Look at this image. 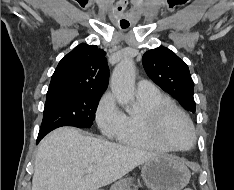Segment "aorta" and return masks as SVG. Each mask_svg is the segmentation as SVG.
<instances>
[{
	"label": "aorta",
	"instance_id": "762f6f07",
	"mask_svg": "<svg viewBox=\"0 0 234 190\" xmlns=\"http://www.w3.org/2000/svg\"><path fill=\"white\" fill-rule=\"evenodd\" d=\"M134 61L131 58L123 59L114 69L111 77V90L117 102L126 106L134 100Z\"/></svg>",
	"mask_w": 234,
	"mask_h": 190
}]
</instances>
